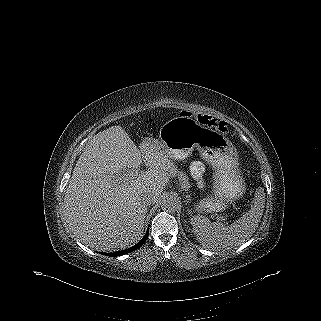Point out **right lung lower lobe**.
<instances>
[{
	"instance_id": "98d812e1",
	"label": "right lung lower lobe",
	"mask_w": 321,
	"mask_h": 321,
	"mask_svg": "<svg viewBox=\"0 0 321 321\" xmlns=\"http://www.w3.org/2000/svg\"><path fill=\"white\" fill-rule=\"evenodd\" d=\"M148 235H149V229L147 230V232H146L145 236L143 237V239L139 243H137L136 245H134V246H132V247L126 249V250L119 251V252L108 253V254L105 253V255H107V256H121V255L130 253V252L138 249L139 247H141L144 244V242L147 240Z\"/></svg>"
}]
</instances>
